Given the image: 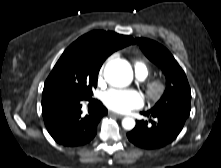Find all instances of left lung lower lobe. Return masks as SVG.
I'll use <instances>...</instances> for the list:
<instances>
[{
  "label": "left lung lower lobe",
  "mask_w": 221,
  "mask_h": 168,
  "mask_svg": "<svg viewBox=\"0 0 221 168\" xmlns=\"http://www.w3.org/2000/svg\"><path fill=\"white\" fill-rule=\"evenodd\" d=\"M146 117H153L155 120L136 121L135 128L127 133L128 139L136 146L144 149L161 148L176 139L181 132L189 114L168 111L162 113L142 112Z\"/></svg>",
  "instance_id": "1"
}]
</instances>
